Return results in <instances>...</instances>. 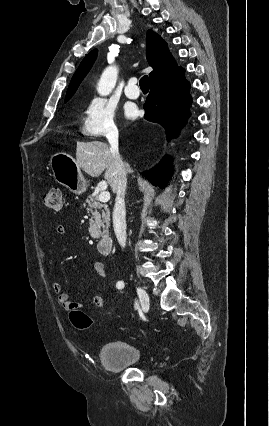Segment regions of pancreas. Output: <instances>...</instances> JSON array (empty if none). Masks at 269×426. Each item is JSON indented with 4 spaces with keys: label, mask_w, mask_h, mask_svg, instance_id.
I'll return each mask as SVG.
<instances>
[{
    "label": "pancreas",
    "mask_w": 269,
    "mask_h": 426,
    "mask_svg": "<svg viewBox=\"0 0 269 426\" xmlns=\"http://www.w3.org/2000/svg\"><path fill=\"white\" fill-rule=\"evenodd\" d=\"M87 212L91 215L89 232L93 238H99L101 227L108 229L110 222V211L108 206L101 203L97 195H90L86 199ZM101 211V212H100Z\"/></svg>",
    "instance_id": "obj_1"
}]
</instances>
